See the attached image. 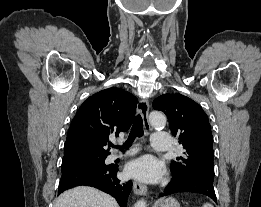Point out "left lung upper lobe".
I'll use <instances>...</instances> for the list:
<instances>
[{"label":"left lung upper lobe","mask_w":261,"mask_h":207,"mask_svg":"<svg viewBox=\"0 0 261 207\" xmlns=\"http://www.w3.org/2000/svg\"><path fill=\"white\" fill-rule=\"evenodd\" d=\"M153 108L167 115L170 130L184 149V156L172 161V173L203 178L213 183V136L201 106L177 93L159 96L153 101Z\"/></svg>","instance_id":"obj_1"}]
</instances>
